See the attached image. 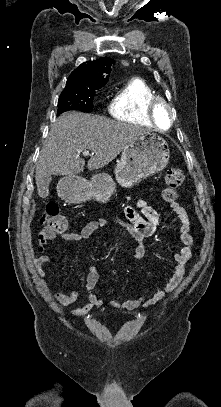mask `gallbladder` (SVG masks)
I'll use <instances>...</instances> for the list:
<instances>
[{
  "instance_id": "1",
  "label": "gallbladder",
  "mask_w": 221,
  "mask_h": 407,
  "mask_svg": "<svg viewBox=\"0 0 221 407\" xmlns=\"http://www.w3.org/2000/svg\"><path fill=\"white\" fill-rule=\"evenodd\" d=\"M51 180V176H45L37 183L39 194L46 195Z\"/></svg>"
}]
</instances>
